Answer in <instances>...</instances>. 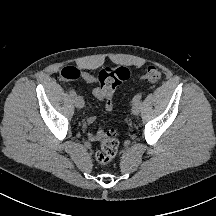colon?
Instances as JSON below:
<instances>
[{"instance_id": "colon-1", "label": "colon", "mask_w": 216, "mask_h": 216, "mask_svg": "<svg viewBox=\"0 0 216 216\" xmlns=\"http://www.w3.org/2000/svg\"><path fill=\"white\" fill-rule=\"evenodd\" d=\"M131 73L132 71L127 67H108L99 73L98 82L103 92L111 95L119 84L129 79ZM161 76V71L156 66H149L141 79L156 82L161 79ZM61 77L65 80H75L79 78V70L71 66L65 67L61 70ZM107 103L112 106L111 98H108ZM99 140L100 148L95 158L99 164H107L115 158L118 152V134L113 128H105L100 130Z\"/></svg>"}]
</instances>
